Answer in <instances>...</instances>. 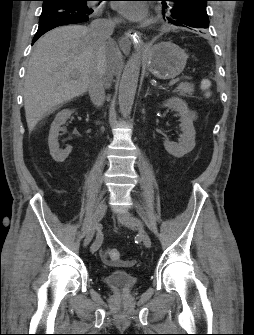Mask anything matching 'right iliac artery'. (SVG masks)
I'll return each mask as SVG.
<instances>
[{
    "instance_id": "82829eb1",
    "label": "right iliac artery",
    "mask_w": 254,
    "mask_h": 335,
    "mask_svg": "<svg viewBox=\"0 0 254 335\" xmlns=\"http://www.w3.org/2000/svg\"><path fill=\"white\" fill-rule=\"evenodd\" d=\"M96 229H97L96 238H95V241L93 242V244L90 247L91 252H93V253L96 252L100 248V246L103 242V233H102L101 226L97 225Z\"/></svg>"
}]
</instances>
